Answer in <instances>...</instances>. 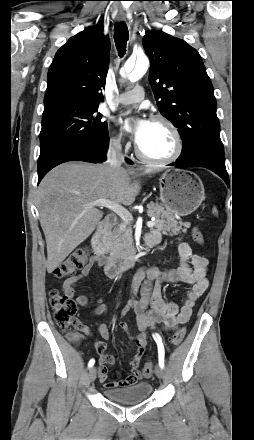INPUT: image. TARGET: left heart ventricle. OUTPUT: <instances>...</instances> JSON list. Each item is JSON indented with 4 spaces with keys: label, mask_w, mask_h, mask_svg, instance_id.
Returning <instances> with one entry per match:
<instances>
[{
    "label": "left heart ventricle",
    "mask_w": 254,
    "mask_h": 440,
    "mask_svg": "<svg viewBox=\"0 0 254 440\" xmlns=\"http://www.w3.org/2000/svg\"><path fill=\"white\" fill-rule=\"evenodd\" d=\"M175 145L174 135L165 124L151 122L145 138L138 147L145 155L161 159L172 155Z\"/></svg>",
    "instance_id": "b2bd125f"
}]
</instances>
